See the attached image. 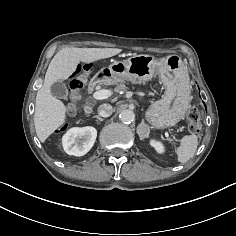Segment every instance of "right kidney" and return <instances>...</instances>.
Instances as JSON below:
<instances>
[{
  "mask_svg": "<svg viewBox=\"0 0 236 236\" xmlns=\"http://www.w3.org/2000/svg\"><path fill=\"white\" fill-rule=\"evenodd\" d=\"M96 137L97 130L94 127H74L64 134L62 145L67 154L83 156L92 148Z\"/></svg>",
  "mask_w": 236,
  "mask_h": 236,
  "instance_id": "ca27d5eb",
  "label": "right kidney"
}]
</instances>
